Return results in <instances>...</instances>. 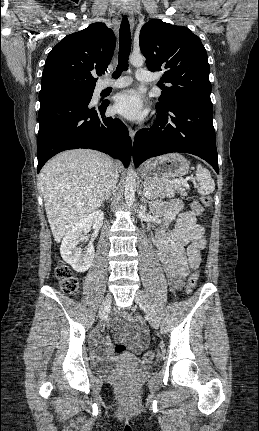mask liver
I'll return each mask as SVG.
<instances>
[{
  "instance_id": "1",
  "label": "liver",
  "mask_w": 259,
  "mask_h": 431,
  "mask_svg": "<svg viewBox=\"0 0 259 431\" xmlns=\"http://www.w3.org/2000/svg\"><path fill=\"white\" fill-rule=\"evenodd\" d=\"M122 170L105 154L90 149L64 151L42 168L39 182L56 242L81 218L98 209L110 170Z\"/></svg>"
}]
</instances>
